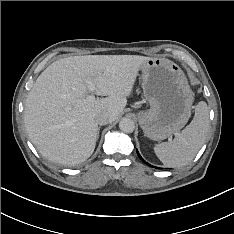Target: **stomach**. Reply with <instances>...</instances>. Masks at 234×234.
Listing matches in <instances>:
<instances>
[{
    "label": "stomach",
    "mask_w": 234,
    "mask_h": 234,
    "mask_svg": "<svg viewBox=\"0 0 234 234\" xmlns=\"http://www.w3.org/2000/svg\"><path fill=\"white\" fill-rule=\"evenodd\" d=\"M139 70L144 97L150 104L149 110L139 113V123L145 136L161 141L186 125L193 92L179 65L171 60L150 58Z\"/></svg>",
    "instance_id": "0dacf381"
}]
</instances>
